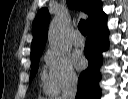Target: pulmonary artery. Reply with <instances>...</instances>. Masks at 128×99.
<instances>
[{"label": "pulmonary artery", "instance_id": "pulmonary-artery-1", "mask_svg": "<svg viewBox=\"0 0 128 99\" xmlns=\"http://www.w3.org/2000/svg\"><path fill=\"white\" fill-rule=\"evenodd\" d=\"M72 43L75 46H82L84 44V38L79 32H75L72 36Z\"/></svg>", "mask_w": 128, "mask_h": 99}]
</instances>
